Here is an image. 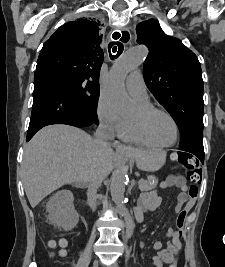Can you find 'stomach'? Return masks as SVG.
<instances>
[{"mask_svg": "<svg viewBox=\"0 0 225 267\" xmlns=\"http://www.w3.org/2000/svg\"><path fill=\"white\" fill-rule=\"evenodd\" d=\"M165 160L166 155L164 153H150L145 155L143 161L146 170L155 171L163 166Z\"/></svg>", "mask_w": 225, "mask_h": 267, "instance_id": "1", "label": "stomach"}]
</instances>
